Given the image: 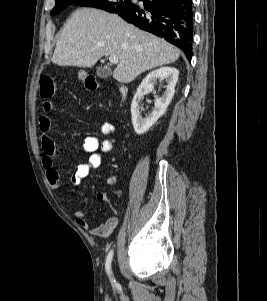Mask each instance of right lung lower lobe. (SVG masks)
I'll list each match as a JSON object with an SVG mask.
<instances>
[{
	"label": "right lung lower lobe",
	"instance_id": "98d812e1",
	"mask_svg": "<svg viewBox=\"0 0 267 301\" xmlns=\"http://www.w3.org/2000/svg\"><path fill=\"white\" fill-rule=\"evenodd\" d=\"M129 10L118 13L127 22L166 39L192 57V0H140Z\"/></svg>",
	"mask_w": 267,
	"mask_h": 301
}]
</instances>
